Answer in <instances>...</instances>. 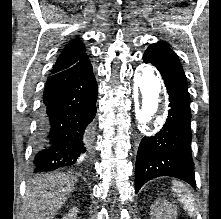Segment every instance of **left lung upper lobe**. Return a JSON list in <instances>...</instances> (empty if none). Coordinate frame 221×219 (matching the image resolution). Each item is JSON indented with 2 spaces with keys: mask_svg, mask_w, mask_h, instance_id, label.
Here are the masks:
<instances>
[{
  "mask_svg": "<svg viewBox=\"0 0 221 219\" xmlns=\"http://www.w3.org/2000/svg\"><path fill=\"white\" fill-rule=\"evenodd\" d=\"M151 45H154V46H166V47H168L165 43H155V44H151Z\"/></svg>",
  "mask_w": 221,
  "mask_h": 219,
  "instance_id": "1",
  "label": "left lung upper lobe"
}]
</instances>
